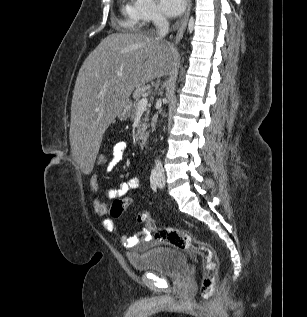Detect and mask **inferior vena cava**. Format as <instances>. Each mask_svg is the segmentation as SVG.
Segmentation results:
<instances>
[{
    "label": "inferior vena cava",
    "instance_id": "inferior-vena-cava-1",
    "mask_svg": "<svg viewBox=\"0 0 307 317\" xmlns=\"http://www.w3.org/2000/svg\"><path fill=\"white\" fill-rule=\"evenodd\" d=\"M155 25L159 29V36L157 39L163 38L169 31V23L167 19L163 15H159L155 19ZM157 174H162L164 172L163 166L159 160L156 161V168Z\"/></svg>",
    "mask_w": 307,
    "mask_h": 317
}]
</instances>
